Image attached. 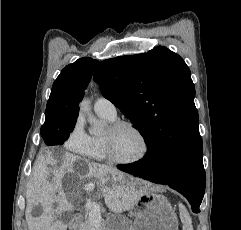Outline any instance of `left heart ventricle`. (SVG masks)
Masks as SVG:
<instances>
[{"mask_svg":"<svg viewBox=\"0 0 241 230\" xmlns=\"http://www.w3.org/2000/svg\"><path fill=\"white\" fill-rule=\"evenodd\" d=\"M114 154L122 160L136 158L142 152V141L130 128L123 127L112 136Z\"/></svg>","mask_w":241,"mask_h":230,"instance_id":"b2bd125f","label":"left heart ventricle"}]
</instances>
